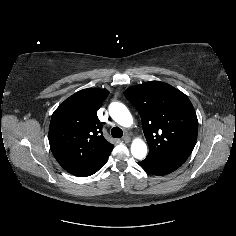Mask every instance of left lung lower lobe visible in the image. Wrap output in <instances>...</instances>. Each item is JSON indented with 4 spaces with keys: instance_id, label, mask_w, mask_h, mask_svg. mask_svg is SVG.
I'll return each instance as SVG.
<instances>
[{
    "instance_id": "left-lung-lower-lobe-1",
    "label": "left lung lower lobe",
    "mask_w": 236,
    "mask_h": 236,
    "mask_svg": "<svg viewBox=\"0 0 236 236\" xmlns=\"http://www.w3.org/2000/svg\"><path fill=\"white\" fill-rule=\"evenodd\" d=\"M139 164L147 172L153 175H157V176L169 174L181 166V164L159 163V162L150 161L148 159H145L139 162Z\"/></svg>"
}]
</instances>
